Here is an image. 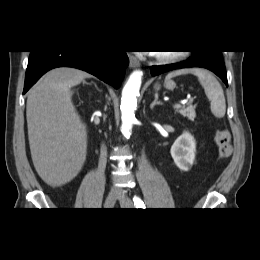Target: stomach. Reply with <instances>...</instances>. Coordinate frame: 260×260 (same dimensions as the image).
<instances>
[{"label":"stomach","instance_id":"stomach-1","mask_svg":"<svg viewBox=\"0 0 260 260\" xmlns=\"http://www.w3.org/2000/svg\"><path fill=\"white\" fill-rule=\"evenodd\" d=\"M164 87H165L166 89H168V90H173V89L176 87V84H175V82L172 81V80H166V81L164 82ZM154 88H155V90H159L160 85H159L158 83H156V84L154 85Z\"/></svg>","mask_w":260,"mask_h":260}]
</instances>
